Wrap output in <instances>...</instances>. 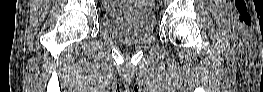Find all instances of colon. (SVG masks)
Here are the masks:
<instances>
[{"label":"colon","mask_w":263,"mask_h":92,"mask_svg":"<svg viewBox=\"0 0 263 92\" xmlns=\"http://www.w3.org/2000/svg\"><path fill=\"white\" fill-rule=\"evenodd\" d=\"M143 2L152 3L153 1H143Z\"/></svg>","instance_id":"1"}]
</instances>
